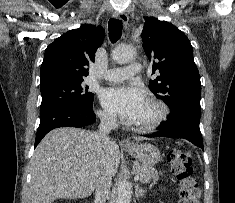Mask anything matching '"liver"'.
<instances>
[{
  "mask_svg": "<svg viewBox=\"0 0 235 203\" xmlns=\"http://www.w3.org/2000/svg\"><path fill=\"white\" fill-rule=\"evenodd\" d=\"M119 162L115 142L103 146L95 132L73 127L54 129L42 139L31 159V201L52 203L59 198L88 197L105 171L115 176Z\"/></svg>",
  "mask_w": 235,
  "mask_h": 203,
  "instance_id": "liver-1",
  "label": "liver"
}]
</instances>
